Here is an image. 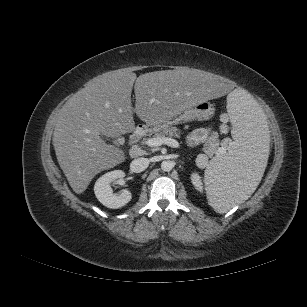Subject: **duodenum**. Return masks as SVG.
<instances>
[{
  "mask_svg": "<svg viewBox=\"0 0 307 307\" xmlns=\"http://www.w3.org/2000/svg\"><path fill=\"white\" fill-rule=\"evenodd\" d=\"M146 134V129L144 127H139L132 132L129 138V142L131 145H136L140 142V140Z\"/></svg>",
  "mask_w": 307,
  "mask_h": 307,
  "instance_id": "duodenum-1",
  "label": "duodenum"
}]
</instances>
